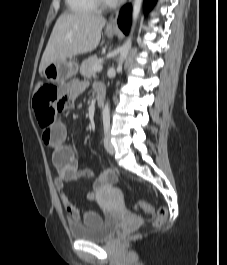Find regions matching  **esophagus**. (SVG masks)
<instances>
[{
    "instance_id": "esophagus-1",
    "label": "esophagus",
    "mask_w": 227,
    "mask_h": 265,
    "mask_svg": "<svg viewBox=\"0 0 227 265\" xmlns=\"http://www.w3.org/2000/svg\"><path fill=\"white\" fill-rule=\"evenodd\" d=\"M119 15V10L114 11L109 19V22L107 24L108 29H116L117 28V18Z\"/></svg>"
}]
</instances>
